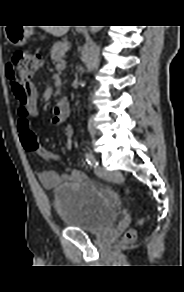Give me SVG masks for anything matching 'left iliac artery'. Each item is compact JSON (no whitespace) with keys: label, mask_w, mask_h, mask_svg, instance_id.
I'll list each match as a JSON object with an SVG mask.
<instances>
[{"label":"left iliac artery","mask_w":184,"mask_h":292,"mask_svg":"<svg viewBox=\"0 0 184 292\" xmlns=\"http://www.w3.org/2000/svg\"><path fill=\"white\" fill-rule=\"evenodd\" d=\"M85 159L90 166H93V167L98 166V162L93 154L88 153V152L85 153Z\"/></svg>","instance_id":"1"}]
</instances>
